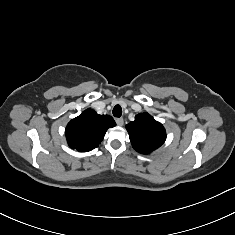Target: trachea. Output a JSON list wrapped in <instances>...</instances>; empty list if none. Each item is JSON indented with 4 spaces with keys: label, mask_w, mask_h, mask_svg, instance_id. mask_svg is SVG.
<instances>
[{
    "label": "trachea",
    "mask_w": 235,
    "mask_h": 235,
    "mask_svg": "<svg viewBox=\"0 0 235 235\" xmlns=\"http://www.w3.org/2000/svg\"><path fill=\"white\" fill-rule=\"evenodd\" d=\"M113 115L115 117H120L122 115V108L120 105H116L114 108H113Z\"/></svg>",
    "instance_id": "1"
}]
</instances>
